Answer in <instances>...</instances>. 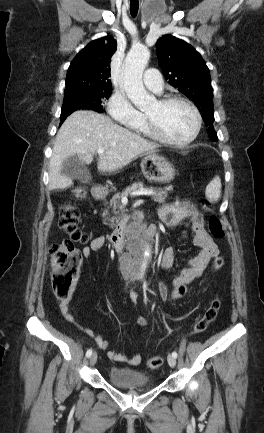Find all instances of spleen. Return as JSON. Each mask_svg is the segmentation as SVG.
Segmentation results:
<instances>
[{
  "label": "spleen",
  "instance_id": "1",
  "mask_svg": "<svg viewBox=\"0 0 264 433\" xmlns=\"http://www.w3.org/2000/svg\"><path fill=\"white\" fill-rule=\"evenodd\" d=\"M221 179L216 176L206 187V196L211 201H217L221 197Z\"/></svg>",
  "mask_w": 264,
  "mask_h": 433
}]
</instances>
